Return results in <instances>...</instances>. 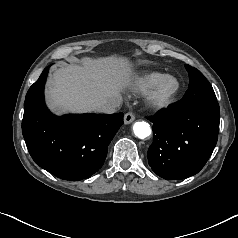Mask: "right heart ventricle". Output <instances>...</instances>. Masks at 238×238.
Returning <instances> with one entry per match:
<instances>
[{"label": "right heart ventricle", "instance_id": "e07e8e85", "mask_svg": "<svg viewBox=\"0 0 238 238\" xmlns=\"http://www.w3.org/2000/svg\"><path fill=\"white\" fill-rule=\"evenodd\" d=\"M162 75H164V73L159 71H150L138 75L133 81V90L136 93L147 92L152 84Z\"/></svg>", "mask_w": 238, "mask_h": 238}]
</instances>
